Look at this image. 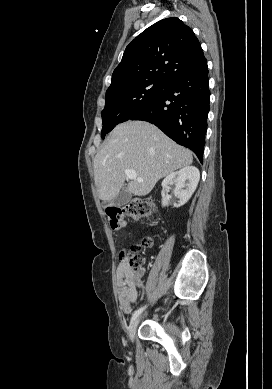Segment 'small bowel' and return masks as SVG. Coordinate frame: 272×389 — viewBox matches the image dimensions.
Listing matches in <instances>:
<instances>
[{"label":"small bowel","instance_id":"obj_1","mask_svg":"<svg viewBox=\"0 0 272 389\" xmlns=\"http://www.w3.org/2000/svg\"><path fill=\"white\" fill-rule=\"evenodd\" d=\"M144 273V267L134 270L128 265L127 260H122L117 268L118 296L125 314L131 312L132 305L137 300L139 290L143 287Z\"/></svg>","mask_w":272,"mask_h":389}]
</instances>
